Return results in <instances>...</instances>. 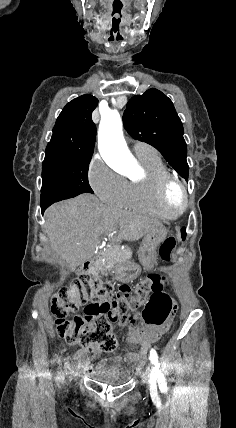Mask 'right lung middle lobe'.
Instances as JSON below:
<instances>
[{
	"mask_svg": "<svg viewBox=\"0 0 236 428\" xmlns=\"http://www.w3.org/2000/svg\"><path fill=\"white\" fill-rule=\"evenodd\" d=\"M91 157L56 158L43 161L41 205L93 193L88 183Z\"/></svg>",
	"mask_w": 236,
	"mask_h": 428,
	"instance_id": "right-lung-middle-lobe-1",
	"label": "right lung middle lobe"
}]
</instances>
